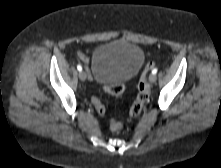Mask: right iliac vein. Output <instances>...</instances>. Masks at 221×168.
<instances>
[{
    "label": "right iliac vein",
    "instance_id": "1",
    "mask_svg": "<svg viewBox=\"0 0 221 168\" xmlns=\"http://www.w3.org/2000/svg\"><path fill=\"white\" fill-rule=\"evenodd\" d=\"M79 78L82 80V81H85L87 79V74L85 71H80L79 72Z\"/></svg>",
    "mask_w": 221,
    "mask_h": 168
}]
</instances>
